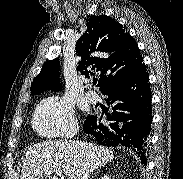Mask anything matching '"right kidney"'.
Listing matches in <instances>:
<instances>
[{
    "label": "right kidney",
    "mask_w": 183,
    "mask_h": 179,
    "mask_svg": "<svg viewBox=\"0 0 183 179\" xmlns=\"http://www.w3.org/2000/svg\"><path fill=\"white\" fill-rule=\"evenodd\" d=\"M100 179H110L108 176H103Z\"/></svg>",
    "instance_id": "1"
}]
</instances>
